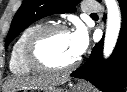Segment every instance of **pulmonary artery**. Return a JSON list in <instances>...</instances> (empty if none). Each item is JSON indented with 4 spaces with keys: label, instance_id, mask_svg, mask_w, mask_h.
I'll list each match as a JSON object with an SVG mask.
<instances>
[{
    "label": "pulmonary artery",
    "instance_id": "e3ab8cb5",
    "mask_svg": "<svg viewBox=\"0 0 127 92\" xmlns=\"http://www.w3.org/2000/svg\"><path fill=\"white\" fill-rule=\"evenodd\" d=\"M83 11H84L85 13L98 12V11H100V6L97 5V4H86V5L83 7Z\"/></svg>",
    "mask_w": 127,
    "mask_h": 92
}]
</instances>
